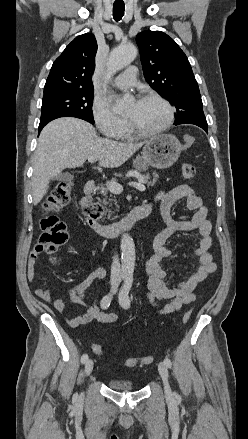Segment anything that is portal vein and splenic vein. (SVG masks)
<instances>
[{"label": "portal vein and splenic vein", "instance_id": "1", "mask_svg": "<svg viewBox=\"0 0 248 439\" xmlns=\"http://www.w3.org/2000/svg\"><path fill=\"white\" fill-rule=\"evenodd\" d=\"M88 161L90 163H93V162H95V159L89 158ZM128 185L136 188L137 190H139L141 192L146 190L145 186L142 183L129 182ZM108 189L110 190V192H112L114 194H120L123 191V186L120 185L119 183H116V182H109Z\"/></svg>", "mask_w": 248, "mask_h": 439}]
</instances>
